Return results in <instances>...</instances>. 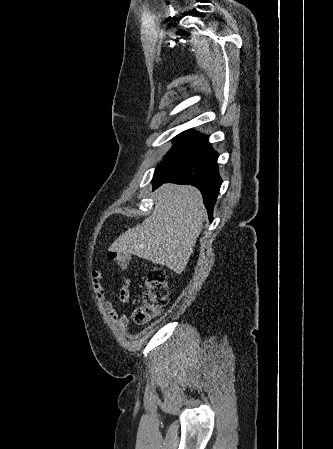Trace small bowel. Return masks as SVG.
<instances>
[{
  "label": "small bowel",
  "mask_w": 333,
  "mask_h": 449,
  "mask_svg": "<svg viewBox=\"0 0 333 449\" xmlns=\"http://www.w3.org/2000/svg\"><path fill=\"white\" fill-rule=\"evenodd\" d=\"M93 287L100 307L109 314L111 320L118 326L122 332H127L128 318L125 315H120L116 311L112 301L106 297L105 289L103 287V275L101 271L95 270L92 273ZM131 280L128 277L123 279V285L119 291V301L121 303L128 302L130 298Z\"/></svg>",
  "instance_id": "obj_1"
}]
</instances>
